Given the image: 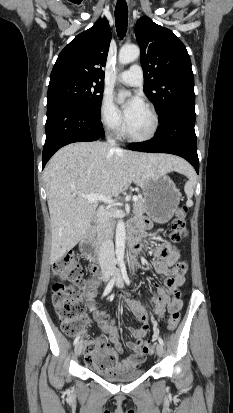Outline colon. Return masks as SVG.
I'll list each match as a JSON object with an SVG mask.
<instances>
[{
    "label": "colon",
    "mask_w": 233,
    "mask_h": 413,
    "mask_svg": "<svg viewBox=\"0 0 233 413\" xmlns=\"http://www.w3.org/2000/svg\"><path fill=\"white\" fill-rule=\"evenodd\" d=\"M187 206L177 209L171 224L170 240L179 243L186 229L185 217ZM95 268H92L94 270ZM53 274L59 281L53 285L52 301L61 324L62 330L67 335H74L83 323L86 322V304L81 294L90 282L83 279V269L73 253H67L53 264ZM180 322L179 305L172 308L167 328L174 331ZM146 354L153 352L151 341L147 340L143 346ZM87 363L102 374H114L117 369V356L114 351L105 345L102 339L88 342L86 346Z\"/></svg>",
    "instance_id": "5ec220e1"
}]
</instances>
